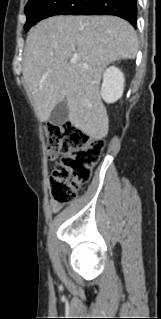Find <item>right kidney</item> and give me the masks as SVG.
Segmentation results:
<instances>
[{
	"label": "right kidney",
	"mask_w": 161,
	"mask_h": 319,
	"mask_svg": "<svg viewBox=\"0 0 161 319\" xmlns=\"http://www.w3.org/2000/svg\"><path fill=\"white\" fill-rule=\"evenodd\" d=\"M124 91V75L116 68L111 66L103 73V83L101 96L107 103H113L120 99Z\"/></svg>",
	"instance_id": "obj_1"
}]
</instances>
